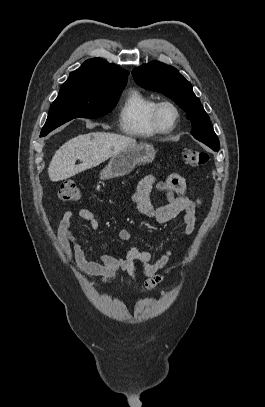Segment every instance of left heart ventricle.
Instances as JSON below:
<instances>
[{
	"instance_id": "b2bd125f",
	"label": "left heart ventricle",
	"mask_w": 265,
	"mask_h": 407,
	"mask_svg": "<svg viewBox=\"0 0 265 407\" xmlns=\"http://www.w3.org/2000/svg\"><path fill=\"white\" fill-rule=\"evenodd\" d=\"M172 119H173V113H172V111L169 110V109H166V110L163 112V121H164L166 124H169V123L172 121Z\"/></svg>"
}]
</instances>
